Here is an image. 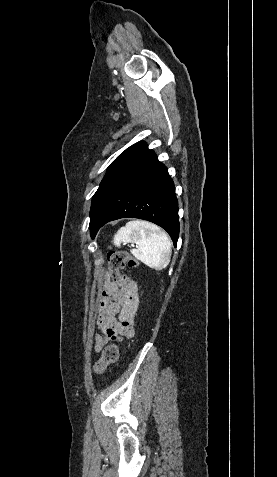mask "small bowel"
I'll return each mask as SVG.
<instances>
[{
	"label": "small bowel",
	"mask_w": 277,
	"mask_h": 477,
	"mask_svg": "<svg viewBox=\"0 0 277 477\" xmlns=\"http://www.w3.org/2000/svg\"><path fill=\"white\" fill-rule=\"evenodd\" d=\"M139 303L138 289L134 281L119 283L103 275V290L98 300L97 325L102 335L94 334V351L100 352L118 335L131 338L134 334V318Z\"/></svg>",
	"instance_id": "1"
}]
</instances>
